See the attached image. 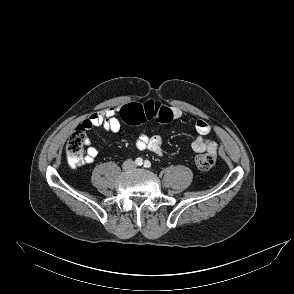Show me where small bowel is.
I'll use <instances>...</instances> for the list:
<instances>
[{"instance_id": "obj_1", "label": "small bowel", "mask_w": 294, "mask_h": 294, "mask_svg": "<svg viewBox=\"0 0 294 294\" xmlns=\"http://www.w3.org/2000/svg\"><path fill=\"white\" fill-rule=\"evenodd\" d=\"M172 119H179L182 116V110L178 107H171ZM120 107H109L102 111L91 114L86 120L83 121L81 127L84 130H89L93 127H103L106 131L117 133L121 129L120 122ZM197 137L192 142V148L197 153L211 152L216 153L217 144L208 138L210 133V125L204 120H198L195 124ZM87 152L84 158L87 164L94 162L98 155L96 147L92 146L90 141L86 140ZM135 146L138 150H148L156 155H163V140L158 135H148L141 133L135 139Z\"/></svg>"}]
</instances>
